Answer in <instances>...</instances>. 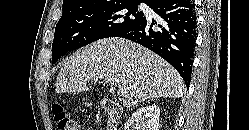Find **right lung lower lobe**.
Instances as JSON below:
<instances>
[{
    "instance_id": "obj_1",
    "label": "right lung lower lobe",
    "mask_w": 249,
    "mask_h": 130,
    "mask_svg": "<svg viewBox=\"0 0 249 130\" xmlns=\"http://www.w3.org/2000/svg\"><path fill=\"white\" fill-rule=\"evenodd\" d=\"M147 5L160 19L145 16L118 37L154 51L179 72L188 86L196 39L195 4L190 0H151Z\"/></svg>"
}]
</instances>
